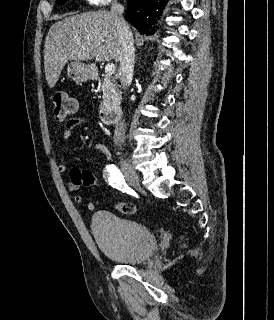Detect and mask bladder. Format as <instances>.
Here are the masks:
<instances>
[{"instance_id": "bladder-1", "label": "bladder", "mask_w": 274, "mask_h": 320, "mask_svg": "<svg viewBox=\"0 0 274 320\" xmlns=\"http://www.w3.org/2000/svg\"><path fill=\"white\" fill-rule=\"evenodd\" d=\"M91 232L100 251L122 264H140L157 249L156 237L147 226L110 211L94 214Z\"/></svg>"}]
</instances>
